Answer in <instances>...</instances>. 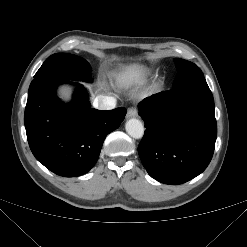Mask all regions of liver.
<instances>
[{
    "instance_id": "1",
    "label": "liver",
    "mask_w": 247,
    "mask_h": 247,
    "mask_svg": "<svg viewBox=\"0 0 247 247\" xmlns=\"http://www.w3.org/2000/svg\"><path fill=\"white\" fill-rule=\"evenodd\" d=\"M118 80L124 85L142 84V72L137 64L122 66L117 75Z\"/></svg>"
}]
</instances>
